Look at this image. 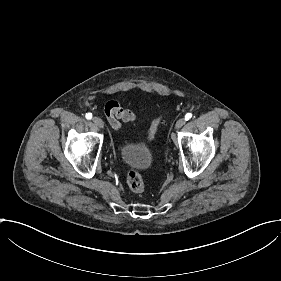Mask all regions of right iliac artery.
Wrapping results in <instances>:
<instances>
[{"label": "right iliac artery", "instance_id": "1", "mask_svg": "<svg viewBox=\"0 0 281 281\" xmlns=\"http://www.w3.org/2000/svg\"><path fill=\"white\" fill-rule=\"evenodd\" d=\"M86 119L90 120L92 118V113H86Z\"/></svg>", "mask_w": 281, "mask_h": 281}]
</instances>
